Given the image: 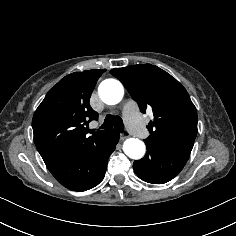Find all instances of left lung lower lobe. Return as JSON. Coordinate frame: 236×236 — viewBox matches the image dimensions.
<instances>
[{
    "instance_id": "0a47b994",
    "label": "left lung lower lobe",
    "mask_w": 236,
    "mask_h": 236,
    "mask_svg": "<svg viewBox=\"0 0 236 236\" xmlns=\"http://www.w3.org/2000/svg\"><path fill=\"white\" fill-rule=\"evenodd\" d=\"M146 156L136 160L133 169L145 182L163 184L172 180L185 166L189 156L166 146L147 144Z\"/></svg>"
}]
</instances>
